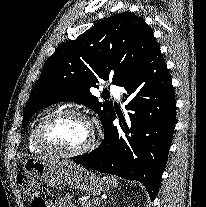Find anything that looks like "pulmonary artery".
Wrapping results in <instances>:
<instances>
[{
  "mask_svg": "<svg viewBox=\"0 0 206 207\" xmlns=\"http://www.w3.org/2000/svg\"><path fill=\"white\" fill-rule=\"evenodd\" d=\"M121 88L120 87H118V86H116V85H112L111 86V92H112V94H113V96L115 97V98H117V99H119L120 98V96H121Z\"/></svg>",
  "mask_w": 206,
  "mask_h": 207,
  "instance_id": "pulmonary-artery-1",
  "label": "pulmonary artery"
}]
</instances>
